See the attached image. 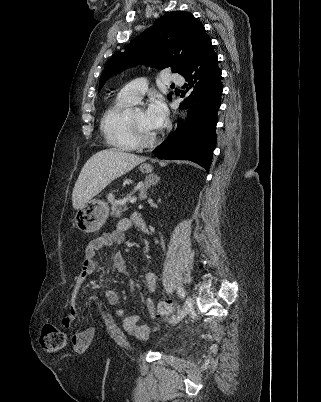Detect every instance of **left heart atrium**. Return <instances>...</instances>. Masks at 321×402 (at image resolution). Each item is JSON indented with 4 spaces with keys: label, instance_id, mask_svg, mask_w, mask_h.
<instances>
[{
    "label": "left heart atrium",
    "instance_id": "39dd6f15",
    "mask_svg": "<svg viewBox=\"0 0 321 402\" xmlns=\"http://www.w3.org/2000/svg\"><path fill=\"white\" fill-rule=\"evenodd\" d=\"M144 116L147 126L150 129L157 131L166 121L167 110L165 105L160 100L155 99L149 104Z\"/></svg>",
    "mask_w": 321,
    "mask_h": 402
}]
</instances>
